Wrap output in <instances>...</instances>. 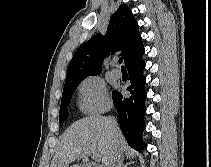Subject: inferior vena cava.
Returning <instances> with one entry per match:
<instances>
[{"instance_id": "inferior-vena-cava-1", "label": "inferior vena cava", "mask_w": 211, "mask_h": 167, "mask_svg": "<svg viewBox=\"0 0 211 167\" xmlns=\"http://www.w3.org/2000/svg\"><path fill=\"white\" fill-rule=\"evenodd\" d=\"M110 128L112 131L116 132L118 129L117 121L114 117L109 118ZM112 167H122V155L118 154L116 159L114 160V163L112 164Z\"/></svg>"}]
</instances>
